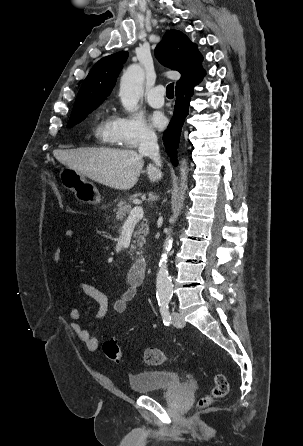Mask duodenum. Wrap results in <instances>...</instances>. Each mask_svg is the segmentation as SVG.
<instances>
[{
    "label": "duodenum",
    "instance_id": "obj_1",
    "mask_svg": "<svg viewBox=\"0 0 303 446\" xmlns=\"http://www.w3.org/2000/svg\"><path fill=\"white\" fill-rule=\"evenodd\" d=\"M146 268L147 258L143 256L137 258L129 269V281L134 285L141 283L145 277Z\"/></svg>",
    "mask_w": 303,
    "mask_h": 446
}]
</instances>
